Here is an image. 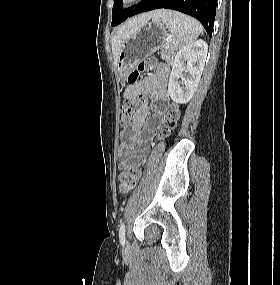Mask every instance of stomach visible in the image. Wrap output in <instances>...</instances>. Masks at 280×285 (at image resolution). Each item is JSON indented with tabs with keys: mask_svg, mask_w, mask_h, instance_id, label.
<instances>
[{
	"mask_svg": "<svg viewBox=\"0 0 280 285\" xmlns=\"http://www.w3.org/2000/svg\"><path fill=\"white\" fill-rule=\"evenodd\" d=\"M167 38V30L160 20H152L141 25L121 47L117 71L122 80L137 63L163 46Z\"/></svg>",
	"mask_w": 280,
	"mask_h": 285,
	"instance_id": "stomach-1",
	"label": "stomach"
}]
</instances>
